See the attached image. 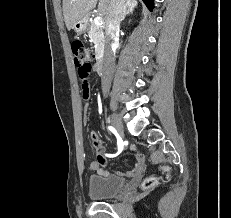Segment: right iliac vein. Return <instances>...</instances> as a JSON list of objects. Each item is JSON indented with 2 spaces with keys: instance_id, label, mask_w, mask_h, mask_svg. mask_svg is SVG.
<instances>
[{
  "instance_id": "obj_1",
  "label": "right iliac vein",
  "mask_w": 231,
  "mask_h": 218,
  "mask_svg": "<svg viewBox=\"0 0 231 218\" xmlns=\"http://www.w3.org/2000/svg\"><path fill=\"white\" fill-rule=\"evenodd\" d=\"M111 119H112V123H113L118 135L120 137H123L124 129H123V125H122V122H121L120 118L118 117V115L112 114Z\"/></svg>"
}]
</instances>
